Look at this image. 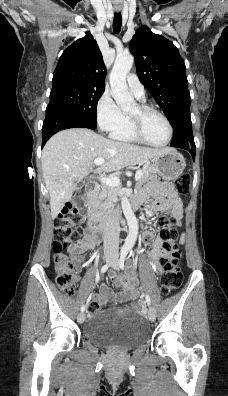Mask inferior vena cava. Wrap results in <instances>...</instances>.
Segmentation results:
<instances>
[{"label": "inferior vena cava", "instance_id": "602c4592", "mask_svg": "<svg viewBox=\"0 0 228 396\" xmlns=\"http://www.w3.org/2000/svg\"><path fill=\"white\" fill-rule=\"evenodd\" d=\"M104 253L114 254L118 253L119 232L116 227V217L112 218V224L104 229Z\"/></svg>", "mask_w": 228, "mask_h": 396}]
</instances>
